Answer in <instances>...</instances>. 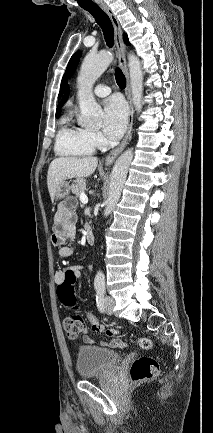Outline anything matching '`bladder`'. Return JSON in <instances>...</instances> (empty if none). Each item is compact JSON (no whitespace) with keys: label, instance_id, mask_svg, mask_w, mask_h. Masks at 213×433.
I'll return each instance as SVG.
<instances>
[{"label":"bladder","instance_id":"1","mask_svg":"<svg viewBox=\"0 0 213 433\" xmlns=\"http://www.w3.org/2000/svg\"><path fill=\"white\" fill-rule=\"evenodd\" d=\"M122 360V354L111 349L83 345L78 348L76 369L83 379L101 377L111 372Z\"/></svg>","mask_w":213,"mask_h":433}]
</instances>
